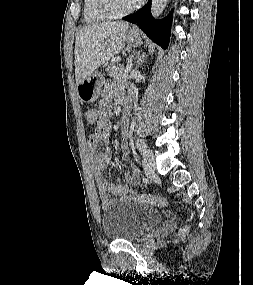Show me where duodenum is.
Here are the masks:
<instances>
[{
	"label": "duodenum",
	"mask_w": 253,
	"mask_h": 285,
	"mask_svg": "<svg viewBox=\"0 0 253 285\" xmlns=\"http://www.w3.org/2000/svg\"><path fill=\"white\" fill-rule=\"evenodd\" d=\"M127 121V113L123 116V122Z\"/></svg>",
	"instance_id": "1"
}]
</instances>
